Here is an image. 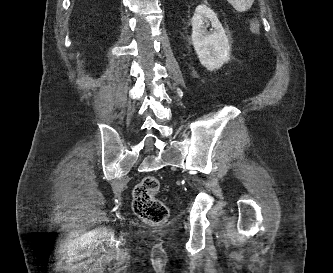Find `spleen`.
Wrapping results in <instances>:
<instances>
[{"label":"spleen","mask_w":333,"mask_h":273,"mask_svg":"<svg viewBox=\"0 0 333 273\" xmlns=\"http://www.w3.org/2000/svg\"><path fill=\"white\" fill-rule=\"evenodd\" d=\"M235 10L244 12L251 8L254 0H227Z\"/></svg>","instance_id":"3e777b00"}]
</instances>
